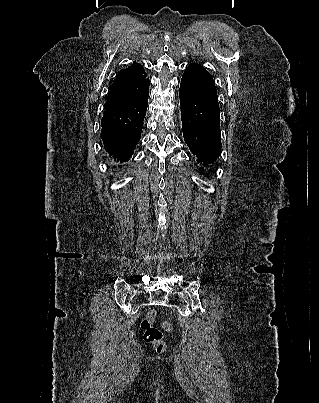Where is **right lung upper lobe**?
Wrapping results in <instances>:
<instances>
[{
	"instance_id": "cb5924a9",
	"label": "right lung upper lobe",
	"mask_w": 319,
	"mask_h": 403,
	"mask_svg": "<svg viewBox=\"0 0 319 403\" xmlns=\"http://www.w3.org/2000/svg\"><path fill=\"white\" fill-rule=\"evenodd\" d=\"M149 91V79L143 66L133 62L121 69L112 85L104 108L115 107L138 98Z\"/></svg>"
}]
</instances>
